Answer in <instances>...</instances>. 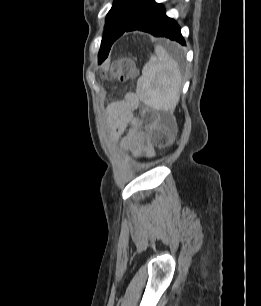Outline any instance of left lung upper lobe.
I'll use <instances>...</instances> for the list:
<instances>
[{"mask_svg":"<svg viewBox=\"0 0 261 306\" xmlns=\"http://www.w3.org/2000/svg\"><path fill=\"white\" fill-rule=\"evenodd\" d=\"M146 0H115L107 14L105 33L101 41L98 55L102 63L109 54L112 44L121 36L133 17L143 6Z\"/></svg>","mask_w":261,"mask_h":306,"instance_id":"1","label":"left lung upper lobe"}]
</instances>
